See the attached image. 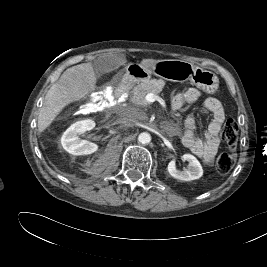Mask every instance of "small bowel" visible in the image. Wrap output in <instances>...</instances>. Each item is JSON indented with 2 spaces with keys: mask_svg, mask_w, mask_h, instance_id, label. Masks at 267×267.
<instances>
[{
  "mask_svg": "<svg viewBox=\"0 0 267 267\" xmlns=\"http://www.w3.org/2000/svg\"><path fill=\"white\" fill-rule=\"evenodd\" d=\"M199 97V90L196 88L187 89L173 97L171 107L174 111L185 109ZM203 111L212 115L205 137L203 139L196 138V120L193 115H189L184 121L182 144L204 162L211 163L219 148V133L225 119V113L221 102L214 97L205 100Z\"/></svg>",
  "mask_w": 267,
  "mask_h": 267,
  "instance_id": "1",
  "label": "small bowel"
}]
</instances>
